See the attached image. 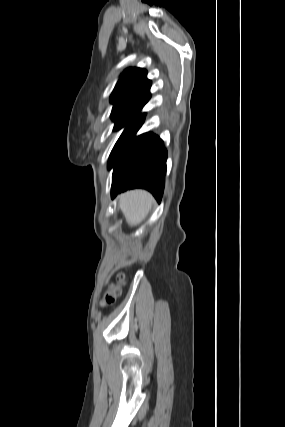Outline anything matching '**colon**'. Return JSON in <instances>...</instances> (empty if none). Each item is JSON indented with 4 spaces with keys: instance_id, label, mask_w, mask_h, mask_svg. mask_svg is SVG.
<instances>
[{
    "instance_id": "1",
    "label": "colon",
    "mask_w": 285,
    "mask_h": 427,
    "mask_svg": "<svg viewBox=\"0 0 285 427\" xmlns=\"http://www.w3.org/2000/svg\"><path fill=\"white\" fill-rule=\"evenodd\" d=\"M125 282V275L119 273L115 280L109 285L103 297V305L112 304L121 294L122 286Z\"/></svg>"
}]
</instances>
